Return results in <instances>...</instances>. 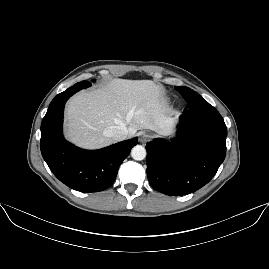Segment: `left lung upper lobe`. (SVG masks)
Wrapping results in <instances>:
<instances>
[{
    "label": "left lung upper lobe",
    "instance_id": "1",
    "mask_svg": "<svg viewBox=\"0 0 269 269\" xmlns=\"http://www.w3.org/2000/svg\"><path fill=\"white\" fill-rule=\"evenodd\" d=\"M184 99L188 102V111L193 115L218 113V111L205 101L199 94L188 87H177Z\"/></svg>",
    "mask_w": 269,
    "mask_h": 269
}]
</instances>
